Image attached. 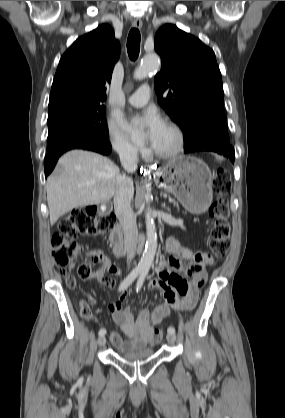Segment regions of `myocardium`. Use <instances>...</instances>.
Listing matches in <instances>:
<instances>
[{
  "instance_id": "1",
  "label": "myocardium",
  "mask_w": 285,
  "mask_h": 418,
  "mask_svg": "<svg viewBox=\"0 0 285 418\" xmlns=\"http://www.w3.org/2000/svg\"><path fill=\"white\" fill-rule=\"evenodd\" d=\"M166 127L170 129L171 131H173V133L175 134L176 143H175V146L169 151H161V150H157L153 148V154L157 158H161V159H171V158L176 157L178 154L182 152L184 148V144H185L184 132L178 124L174 122H167Z\"/></svg>"
}]
</instances>
